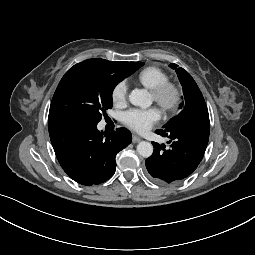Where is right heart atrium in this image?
I'll return each mask as SVG.
<instances>
[{
  "label": "right heart atrium",
  "instance_id": "right-heart-atrium-1",
  "mask_svg": "<svg viewBox=\"0 0 255 255\" xmlns=\"http://www.w3.org/2000/svg\"><path fill=\"white\" fill-rule=\"evenodd\" d=\"M128 87L125 81L118 82L112 89L111 99L114 105L120 107L127 101Z\"/></svg>",
  "mask_w": 255,
  "mask_h": 255
}]
</instances>
